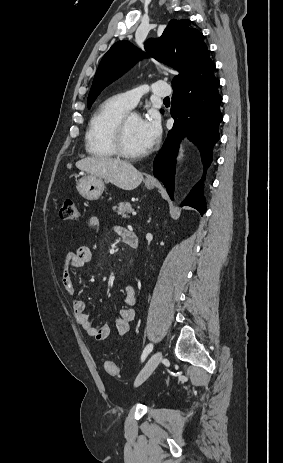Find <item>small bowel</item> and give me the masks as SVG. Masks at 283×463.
<instances>
[{
    "instance_id": "1",
    "label": "small bowel",
    "mask_w": 283,
    "mask_h": 463,
    "mask_svg": "<svg viewBox=\"0 0 283 463\" xmlns=\"http://www.w3.org/2000/svg\"><path fill=\"white\" fill-rule=\"evenodd\" d=\"M99 218L91 215L87 219V225L91 229L99 226ZM116 232L124 239L125 234L128 232L123 227H116ZM92 258L91 249L88 246H81L75 251H70L66 254L63 265L62 283L66 293L72 297V307L75 321L83 328V330L97 341L106 340L112 332L110 324L97 325L86 312V303L84 300L74 296L75 285L72 276V271L76 268L82 267L89 262ZM123 297L126 306L119 309L117 317L114 321L115 329L118 335H126L132 322L135 320V310L133 305L136 300L135 289L131 285H127L123 289Z\"/></svg>"
}]
</instances>
